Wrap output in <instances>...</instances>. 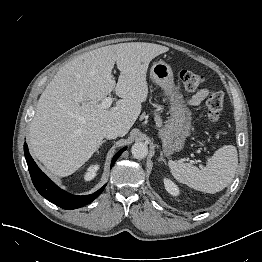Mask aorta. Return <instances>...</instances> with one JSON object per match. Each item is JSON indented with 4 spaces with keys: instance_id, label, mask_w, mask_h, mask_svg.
Instances as JSON below:
<instances>
[{
    "instance_id": "1",
    "label": "aorta",
    "mask_w": 262,
    "mask_h": 262,
    "mask_svg": "<svg viewBox=\"0 0 262 262\" xmlns=\"http://www.w3.org/2000/svg\"><path fill=\"white\" fill-rule=\"evenodd\" d=\"M134 158L144 159L148 155V146L143 142H136L131 148Z\"/></svg>"
}]
</instances>
